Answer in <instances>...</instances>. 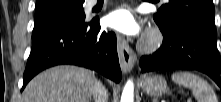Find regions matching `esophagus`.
Segmentation results:
<instances>
[{
    "mask_svg": "<svg viewBox=\"0 0 221 102\" xmlns=\"http://www.w3.org/2000/svg\"><path fill=\"white\" fill-rule=\"evenodd\" d=\"M117 49L122 71H131L136 62V54L127 42L120 36H117Z\"/></svg>",
    "mask_w": 221,
    "mask_h": 102,
    "instance_id": "esophagus-1",
    "label": "esophagus"
}]
</instances>
